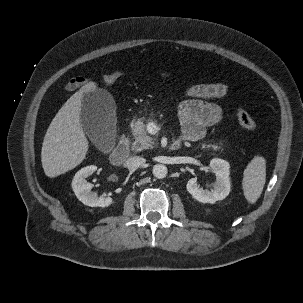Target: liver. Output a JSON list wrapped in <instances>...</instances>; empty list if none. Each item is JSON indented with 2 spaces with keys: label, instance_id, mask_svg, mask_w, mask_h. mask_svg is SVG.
<instances>
[{
  "label": "liver",
  "instance_id": "obj_1",
  "mask_svg": "<svg viewBox=\"0 0 303 303\" xmlns=\"http://www.w3.org/2000/svg\"><path fill=\"white\" fill-rule=\"evenodd\" d=\"M96 90L89 82L73 94L58 111L44 137L41 162L50 178L74 169L86 157L89 143L80 123L83 94Z\"/></svg>",
  "mask_w": 303,
  "mask_h": 303
}]
</instances>
